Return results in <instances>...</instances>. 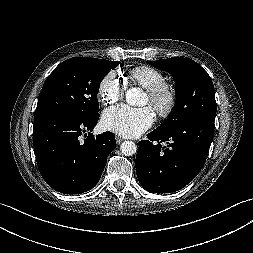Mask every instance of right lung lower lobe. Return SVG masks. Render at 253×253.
<instances>
[{
  "instance_id": "obj_1",
  "label": "right lung lower lobe",
  "mask_w": 253,
  "mask_h": 253,
  "mask_svg": "<svg viewBox=\"0 0 253 253\" xmlns=\"http://www.w3.org/2000/svg\"><path fill=\"white\" fill-rule=\"evenodd\" d=\"M98 119L99 115L78 120L59 114L34 118L37 165L43 179L54 190L79 194L89 191L99 181L116 141L109 131L96 137L90 133ZM82 135L86 137L84 141Z\"/></svg>"
}]
</instances>
